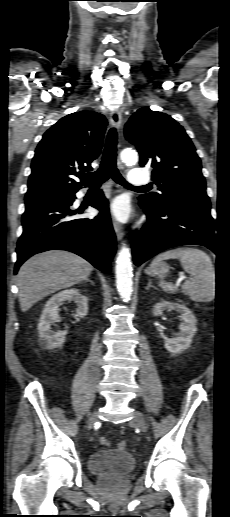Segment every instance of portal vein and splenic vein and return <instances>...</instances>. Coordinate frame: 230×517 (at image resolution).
Listing matches in <instances>:
<instances>
[{"mask_svg":"<svg viewBox=\"0 0 230 517\" xmlns=\"http://www.w3.org/2000/svg\"><path fill=\"white\" fill-rule=\"evenodd\" d=\"M186 279V276L183 274H180V277L178 279V282H181L182 280Z\"/></svg>","mask_w":230,"mask_h":517,"instance_id":"portal-vein-and-splenic-vein-1","label":"portal vein and splenic vein"}]
</instances>
